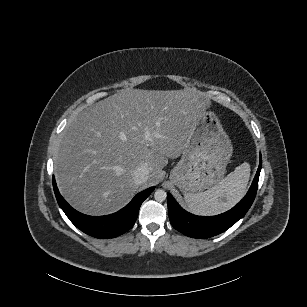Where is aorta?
<instances>
[{
  "label": "aorta",
  "mask_w": 307,
  "mask_h": 307,
  "mask_svg": "<svg viewBox=\"0 0 307 307\" xmlns=\"http://www.w3.org/2000/svg\"><path fill=\"white\" fill-rule=\"evenodd\" d=\"M166 197H167V194H166V192H165L164 190H162V189H158V190H156V192L154 193V198H155V200L158 201V202L164 201V200L166 199Z\"/></svg>",
  "instance_id": "obj_1"
}]
</instances>
